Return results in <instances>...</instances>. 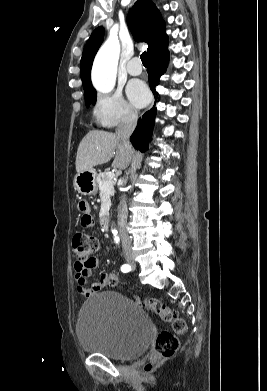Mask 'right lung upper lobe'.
<instances>
[{
	"mask_svg": "<svg viewBox=\"0 0 267 391\" xmlns=\"http://www.w3.org/2000/svg\"><path fill=\"white\" fill-rule=\"evenodd\" d=\"M128 26L137 41L148 43V57L168 45L165 23L151 0H138L127 17ZM104 36V28L98 27L88 39L81 58L80 75L85 92L95 90L91 84V67Z\"/></svg>",
	"mask_w": 267,
	"mask_h": 391,
	"instance_id": "cb5924a9",
	"label": "right lung upper lobe"
}]
</instances>
